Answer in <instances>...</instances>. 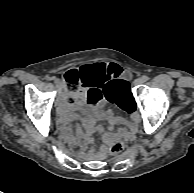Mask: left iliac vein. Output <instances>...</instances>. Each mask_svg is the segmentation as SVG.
<instances>
[{
    "label": "left iliac vein",
    "mask_w": 194,
    "mask_h": 193,
    "mask_svg": "<svg viewBox=\"0 0 194 193\" xmlns=\"http://www.w3.org/2000/svg\"><path fill=\"white\" fill-rule=\"evenodd\" d=\"M141 83H143L142 78H138L135 80V84H141Z\"/></svg>",
    "instance_id": "obj_1"
}]
</instances>
